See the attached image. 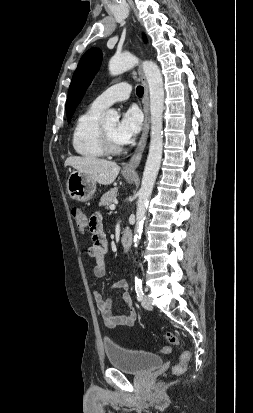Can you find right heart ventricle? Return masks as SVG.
<instances>
[{
	"label": "right heart ventricle",
	"mask_w": 253,
	"mask_h": 413,
	"mask_svg": "<svg viewBox=\"0 0 253 413\" xmlns=\"http://www.w3.org/2000/svg\"><path fill=\"white\" fill-rule=\"evenodd\" d=\"M103 109L93 105L80 114L75 122L72 132V146L74 151L88 159L103 157V151L99 140L100 116Z\"/></svg>",
	"instance_id": "e07e8e85"
}]
</instances>
